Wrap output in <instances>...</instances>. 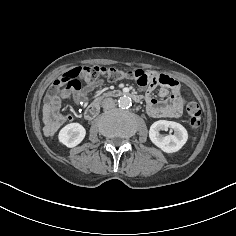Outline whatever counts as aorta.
<instances>
[{
    "label": "aorta",
    "instance_id": "aorta-1",
    "mask_svg": "<svg viewBox=\"0 0 236 236\" xmlns=\"http://www.w3.org/2000/svg\"><path fill=\"white\" fill-rule=\"evenodd\" d=\"M131 105L132 101L131 98L128 96H122L118 100V106L122 109H128L129 107H131Z\"/></svg>",
    "mask_w": 236,
    "mask_h": 236
}]
</instances>
